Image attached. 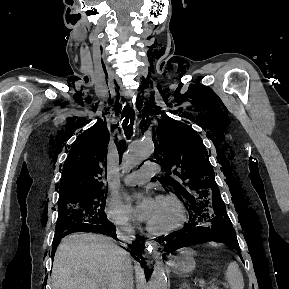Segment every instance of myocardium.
Returning <instances> with one entry per match:
<instances>
[{"instance_id": "myocardium-1", "label": "myocardium", "mask_w": 289, "mask_h": 289, "mask_svg": "<svg viewBox=\"0 0 289 289\" xmlns=\"http://www.w3.org/2000/svg\"><path fill=\"white\" fill-rule=\"evenodd\" d=\"M157 200L172 202L180 212L179 221L176 224L163 229H155L147 223L146 230L153 235H167L181 229L187 221V209L184 203L178 197L171 194H161L157 197Z\"/></svg>"}]
</instances>
